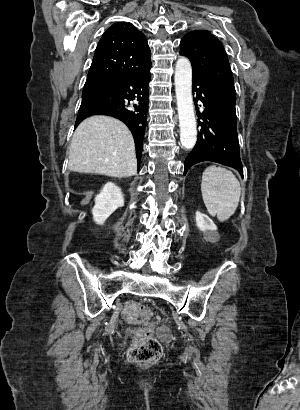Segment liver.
Returning <instances> with one entry per match:
<instances>
[{"label":"liver","mask_w":300,"mask_h":410,"mask_svg":"<svg viewBox=\"0 0 300 410\" xmlns=\"http://www.w3.org/2000/svg\"><path fill=\"white\" fill-rule=\"evenodd\" d=\"M68 168L118 178L135 175L137 160L131 132L112 117L96 115L85 119L72 137Z\"/></svg>","instance_id":"6515ba94"}]
</instances>
